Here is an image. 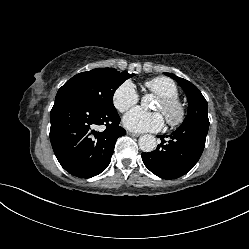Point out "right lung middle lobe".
<instances>
[{
    "mask_svg": "<svg viewBox=\"0 0 249 249\" xmlns=\"http://www.w3.org/2000/svg\"><path fill=\"white\" fill-rule=\"evenodd\" d=\"M134 74L112 68H97L82 72L68 80L58 94H72L102 110H115L113 95L116 89Z\"/></svg>",
    "mask_w": 249,
    "mask_h": 249,
    "instance_id": "1",
    "label": "right lung middle lobe"
}]
</instances>
